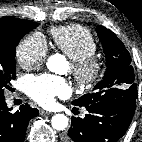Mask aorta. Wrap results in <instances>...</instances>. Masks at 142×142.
I'll use <instances>...</instances> for the list:
<instances>
[{
  "label": "aorta",
  "mask_w": 142,
  "mask_h": 142,
  "mask_svg": "<svg viewBox=\"0 0 142 142\" xmlns=\"http://www.w3.org/2000/svg\"><path fill=\"white\" fill-rule=\"evenodd\" d=\"M47 68L56 74H63L67 69L66 60L62 55H52L48 58ZM51 124L56 130H64L68 126V118L64 114H56L52 117Z\"/></svg>",
  "instance_id": "obj_1"
}]
</instances>
